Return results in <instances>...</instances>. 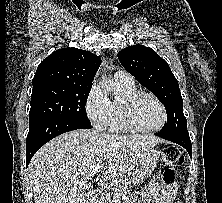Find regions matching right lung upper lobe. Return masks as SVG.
<instances>
[{
    "label": "right lung upper lobe",
    "mask_w": 222,
    "mask_h": 203,
    "mask_svg": "<svg viewBox=\"0 0 222 203\" xmlns=\"http://www.w3.org/2000/svg\"><path fill=\"white\" fill-rule=\"evenodd\" d=\"M101 59L89 51L63 48L54 51L38 66L33 91L53 86H92Z\"/></svg>",
    "instance_id": "1"
}]
</instances>
